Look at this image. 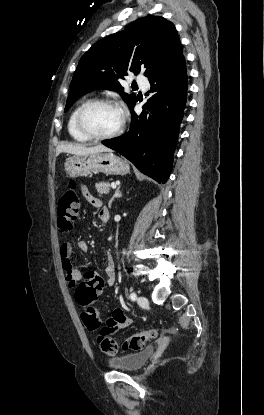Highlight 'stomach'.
<instances>
[{"mask_svg": "<svg viewBox=\"0 0 264 415\" xmlns=\"http://www.w3.org/2000/svg\"><path fill=\"white\" fill-rule=\"evenodd\" d=\"M64 166L70 177L100 172L106 175H125L130 170L129 165L123 159L111 152L74 155L66 160Z\"/></svg>", "mask_w": 264, "mask_h": 415, "instance_id": "1", "label": "stomach"}]
</instances>
